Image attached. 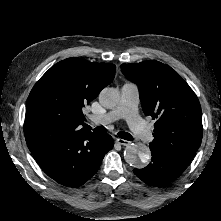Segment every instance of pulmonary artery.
I'll return each mask as SVG.
<instances>
[{
	"mask_svg": "<svg viewBox=\"0 0 221 221\" xmlns=\"http://www.w3.org/2000/svg\"><path fill=\"white\" fill-rule=\"evenodd\" d=\"M139 102V89L134 83L126 82L121 87V100L118 108L100 115L90 116V120L99 125L109 124L117 119L124 118L133 133L143 142L153 139L151 129L139 117L137 106Z\"/></svg>",
	"mask_w": 221,
	"mask_h": 221,
	"instance_id": "obj_1",
	"label": "pulmonary artery"
}]
</instances>
